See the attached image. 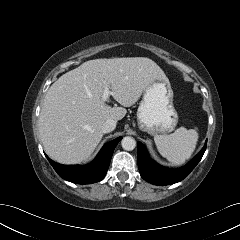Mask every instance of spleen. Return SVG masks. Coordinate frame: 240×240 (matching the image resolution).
I'll return each mask as SVG.
<instances>
[{
    "mask_svg": "<svg viewBox=\"0 0 240 240\" xmlns=\"http://www.w3.org/2000/svg\"><path fill=\"white\" fill-rule=\"evenodd\" d=\"M197 128L187 130L178 128L170 135H156L155 144L159 153L169 162L179 165L183 164L193 154L198 142Z\"/></svg>",
    "mask_w": 240,
    "mask_h": 240,
    "instance_id": "obj_1",
    "label": "spleen"
}]
</instances>
